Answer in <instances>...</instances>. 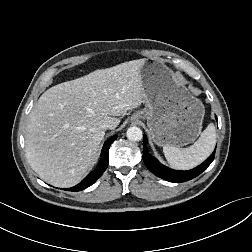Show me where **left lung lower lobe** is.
I'll return each instance as SVG.
<instances>
[{"label":"left lung lower lobe","instance_id":"0a47b994","mask_svg":"<svg viewBox=\"0 0 252 252\" xmlns=\"http://www.w3.org/2000/svg\"><path fill=\"white\" fill-rule=\"evenodd\" d=\"M144 143H147L145 136ZM214 156L215 151L198 167L189 171H176L162 165L155 157L149 154L148 149L145 145L143 151V161L147 168L156 176L175 183L185 182L200 175L214 160Z\"/></svg>","mask_w":252,"mask_h":252}]
</instances>
